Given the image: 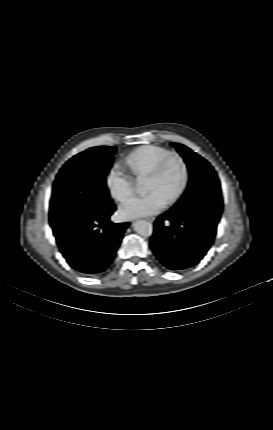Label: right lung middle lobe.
<instances>
[{
	"label": "right lung middle lobe",
	"mask_w": 273,
	"mask_h": 430,
	"mask_svg": "<svg viewBox=\"0 0 273 430\" xmlns=\"http://www.w3.org/2000/svg\"><path fill=\"white\" fill-rule=\"evenodd\" d=\"M115 147H92L71 158L56 177L49 219L53 230L114 207L106 187Z\"/></svg>",
	"instance_id": "obj_1"
}]
</instances>
